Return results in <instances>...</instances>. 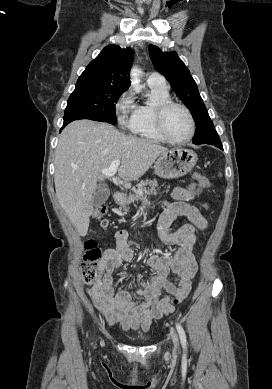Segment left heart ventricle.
I'll return each mask as SVG.
<instances>
[{"label": "left heart ventricle", "instance_id": "b2bd125f", "mask_svg": "<svg viewBox=\"0 0 272 389\" xmlns=\"http://www.w3.org/2000/svg\"><path fill=\"white\" fill-rule=\"evenodd\" d=\"M167 133L175 139H183L190 133V122L185 111L179 107H171L165 115Z\"/></svg>", "mask_w": 272, "mask_h": 389}]
</instances>
